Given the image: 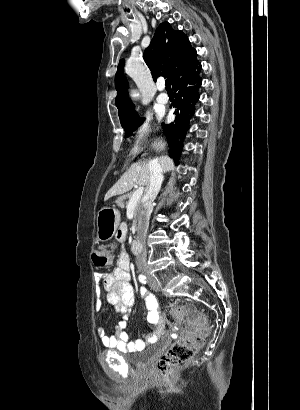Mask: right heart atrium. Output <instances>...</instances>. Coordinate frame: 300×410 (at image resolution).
Returning <instances> with one entry per match:
<instances>
[{"instance_id": "d8ad5b80", "label": "right heart atrium", "mask_w": 300, "mask_h": 410, "mask_svg": "<svg viewBox=\"0 0 300 410\" xmlns=\"http://www.w3.org/2000/svg\"><path fill=\"white\" fill-rule=\"evenodd\" d=\"M151 133V124L150 119L145 117L138 127L136 128L135 132V145L133 147V152L136 153L139 151L140 146L147 140Z\"/></svg>"}]
</instances>
